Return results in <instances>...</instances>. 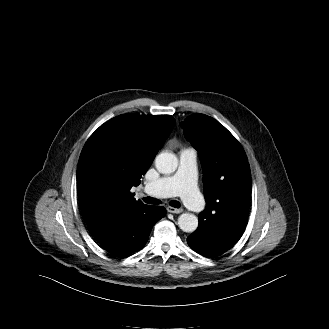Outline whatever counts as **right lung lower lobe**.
Returning a JSON list of instances; mask_svg holds the SVG:
<instances>
[{"mask_svg": "<svg viewBox=\"0 0 329 329\" xmlns=\"http://www.w3.org/2000/svg\"><path fill=\"white\" fill-rule=\"evenodd\" d=\"M165 214V208L160 206L117 209L100 214L87 226L106 251L119 257L142 249L152 227Z\"/></svg>", "mask_w": 329, "mask_h": 329, "instance_id": "right-lung-lower-lobe-1", "label": "right lung lower lobe"}]
</instances>
